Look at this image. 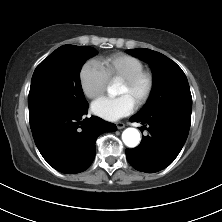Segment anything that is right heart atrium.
Masks as SVG:
<instances>
[{
    "instance_id": "d8ad5b80",
    "label": "right heart atrium",
    "mask_w": 222,
    "mask_h": 222,
    "mask_svg": "<svg viewBox=\"0 0 222 222\" xmlns=\"http://www.w3.org/2000/svg\"><path fill=\"white\" fill-rule=\"evenodd\" d=\"M79 82L83 94L95 99L105 92L108 77L97 61L89 60L80 69Z\"/></svg>"
}]
</instances>
